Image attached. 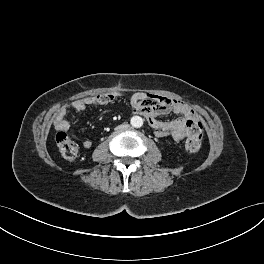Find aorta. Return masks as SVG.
Here are the masks:
<instances>
[{"label":"aorta","mask_w":264,"mask_h":264,"mask_svg":"<svg viewBox=\"0 0 264 264\" xmlns=\"http://www.w3.org/2000/svg\"><path fill=\"white\" fill-rule=\"evenodd\" d=\"M130 123L135 128H140L143 125V119L140 116H133Z\"/></svg>","instance_id":"1"}]
</instances>
